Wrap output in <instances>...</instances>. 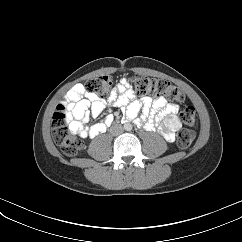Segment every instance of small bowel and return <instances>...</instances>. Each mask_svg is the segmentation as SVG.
I'll return each mask as SVG.
<instances>
[{"mask_svg":"<svg viewBox=\"0 0 242 242\" xmlns=\"http://www.w3.org/2000/svg\"><path fill=\"white\" fill-rule=\"evenodd\" d=\"M107 105L120 107L128 121L135 120L141 111L142 114L136 122L147 129H155L163 122L161 134L170 142L175 140V132L181 126L177 116L179 105L168 103L160 96L135 99L133 91L122 83L117 84L108 99L86 92L81 85H76L59 106L66 115L70 129L78 136L87 138L104 132L113 122L114 117L109 114L102 121L89 125L91 119L98 117Z\"/></svg>","mask_w":242,"mask_h":242,"instance_id":"small-bowel-1","label":"small bowel"}]
</instances>
